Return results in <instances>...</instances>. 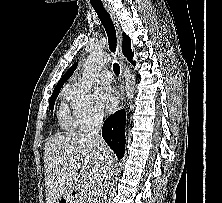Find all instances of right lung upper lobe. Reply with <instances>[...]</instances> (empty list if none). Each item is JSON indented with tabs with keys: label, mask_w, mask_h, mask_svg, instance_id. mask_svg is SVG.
<instances>
[{
	"label": "right lung upper lobe",
	"mask_w": 222,
	"mask_h": 203,
	"mask_svg": "<svg viewBox=\"0 0 222 203\" xmlns=\"http://www.w3.org/2000/svg\"><path fill=\"white\" fill-rule=\"evenodd\" d=\"M77 65L78 63H75L73 66H71V68H69V70L59 80L53 92L59 91L63 87L64 82L67 81L68 78L73 74L74 70L77 68Z\"/></svg>",
	"instance_id": "cb5924a9"
}]
</instances>
